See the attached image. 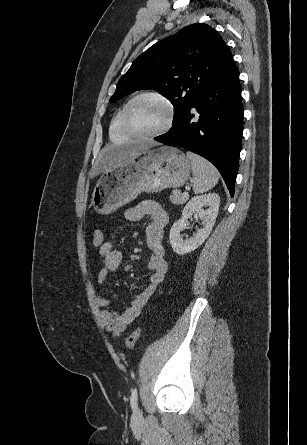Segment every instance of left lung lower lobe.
Listing matches in <instances>:
<instances>
[{"label":"left lung lower lobe","instance_id":"0a47b994","mask_svg":"<svg viewBox=\"0 0 307 445\" xmlns=\"http://www.w3.org/2000/svg\"><path fill=\"white\" fill-rule=\"evenodd\" d=\"M196 108L195 117L190 111ZM243 106L239 73L233 60L224 73L192 103L185 115L154 140L190 150L209 160L221 173L231 197L239 167Z\"/></svg>","mask_w":307,"mask_h":445}]
</instances>
